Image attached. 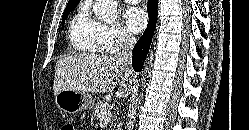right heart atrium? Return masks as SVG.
Returning <instances> with one entry per match:
<instances>
[{
    "instance_id": "obj_1",
    "label": "right heart atrium",
    "mask_w": 249,
    "mask_h": 130,
    "mask_svg": "<svg viewBox=\"0 0 249 130\" xmlns=\"http://www.w3.org/2000/svg\"><path fill=\"white\" fill-rule=\"evenodd\" d=\"M104 49L108 53H115L127 49L134 42V37L118 22L100 24Z\"/></svg>"
}]
</instances>
